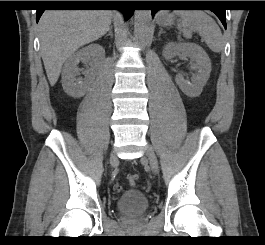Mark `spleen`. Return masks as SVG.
Returning a JSON list of instances; mask_svg holds the SVG:
<instances>
[{"instance_id": "3e777b00", "label": "spleen", "mask_w": 265, "mask_h": 245, "mask_svg": "<svg viewBox=\"0 0 265 245\" xmlns=\"http://www.w3.org/2000/svg\"><path fill=\"white\" fill-rule=\"evenodd\" d=\"M180 16L179 29L183 36L190 38L196 31L204 38L207 46L213 52H220L224 48L221 30L216 22L203 11H175Z\"/></svg>"}]
</instances>
